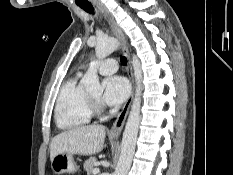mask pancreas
Returning a JSON list of instances; mask_svg holds the SVG:
<instances>
[{"mask_svg": "<svg viewBox=\"0 0 233 175\" xmlns=\"http://www.w3.org/2000/svg\"><path fill=\"white\" fill-rule=\"evenodd\" d=\"M96 164H97L96 157H90L84 162V170L88 173V175L93 173Z\"/></svg>", "mask_w": 233, "mask_h": 175, "instance_id": "cf45deb5", "label": "pancreas"}]
</instances>
